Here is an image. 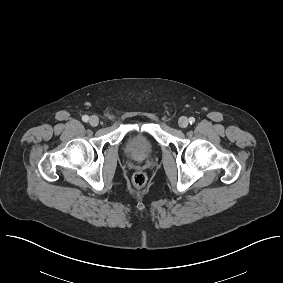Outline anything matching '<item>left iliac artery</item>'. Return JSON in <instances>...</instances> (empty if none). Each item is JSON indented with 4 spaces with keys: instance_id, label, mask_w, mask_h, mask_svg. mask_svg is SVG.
<instances>
[{
    "instance_id": "obj_1",
    "label": "left iliac artery",
    "mask_w": 283,
    "mask_h": 283,
    "mask_svg": "<svg viewBox=\"0 0 283 283\" xmlns=\"http://www.w3.org/2000/svg\"><path fill=\"white\" fill-rule=\"evenodd\" d=\"M194 122H195V118H194V117H190V118H189V123H190V124H193Z\"/></svg>"
}]
</instances>
